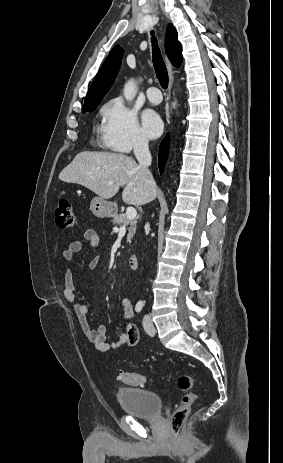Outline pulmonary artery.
<instances>
[{"mask_svg":"<svg viewBox=\"0 0 283 463\" xmlns=\"http://www.w3.org/2000/svg\"><path fill=\"white\" fill-rule=\"evenodd\" d=\"M146 95H147L148 100L153 104H158L162 100L161 93L159 89L156 87H149L146 90Z\"/></svg>","mask_w":283,"mask_h":463,"instance_id":"obj_1","label":"pulmonary artery"}]
</instances>
